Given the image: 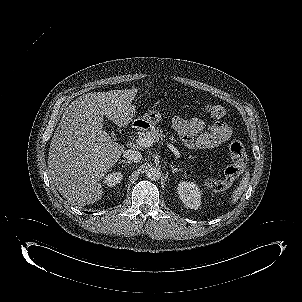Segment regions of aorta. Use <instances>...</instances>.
Returning <instances> with one entry per match:
<instances>
[{
	"mask_svg": "<svg viewBox=\"0 0 302 302\" xmlns=\"http://www.w3.org/2000/svg\"><path fill=\"white\" fill-rule=\"evenodd\" d=\"M160 176V169L156 166H151L146 170V177L150 180H158Z\"/></svg>",
	"mask_w": 302,
	"mask_h": 302,
	"instance_id": "obj_1",
	"label": "aorta"
}]
</instances>
